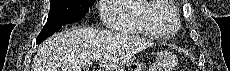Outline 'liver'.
<instances>
[{"label":"liver","mask_w":230,"mask_h":71,"mask_svg":"<svg viewBox=\"0 0 230 71\" xmlns=\"http://www.w3.org/2000/svg\"><path fill=\"white\" fill-rule=\"evenodd\" d=\"M152 42L124 33L73 27L46 40L34 58L32 71H88L101 54L100 69L117 71Z\"/></svg>","instance_id":"6515ba94"}]
</instances>
